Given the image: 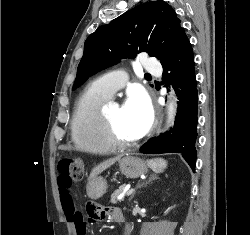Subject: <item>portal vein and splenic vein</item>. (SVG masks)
Wrapping results in <instances>:
<instances>
[{
    "instance_id": "portal-vein-and-splenic-vein-1",
    "label": "portal vein and splenic vein",
    "mask_w": 250,
    "mask_h": 235,
    "mask_svg": "<svg viewBox=\"0 0 250 235\" xmlns=\"http://www.w3.org/2000/svg\"><path fill=\"white\" fill-rule=\"evenodd\" d=\"M133 192H134V189H130V190L127 192V195L129 196V195H131ZM122 198H123V195H120V196L118 197V200H121Z\"/></svg>"
}]
</instances>
